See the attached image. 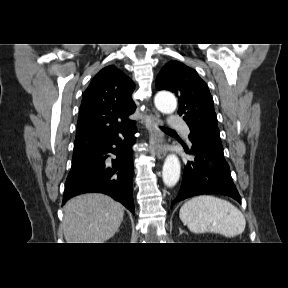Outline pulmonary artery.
<instances>
[{"instance_id":"pulmonary-artery-1","label":"pulmonary artery","mask_w":288,"mask_h":288,"mask_svg":"<svg viewBox=\"0 0 288 288\" xmlns=\"http://www.w3.org/2000/svg\"><path fill=\"white\" fill-rule=\"evenodd\" d=\"M169 127L173 128V129H181L183 130L186 134L189 133V129L186 127V124L184 122V120L179 117L178 115L175 114H171L169 116Z\"/></svg>"}]
</instances>
